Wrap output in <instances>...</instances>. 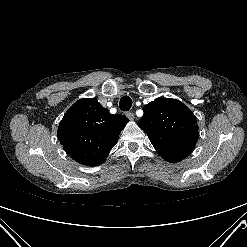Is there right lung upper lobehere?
<instances>
[{
	"mask_svg": "<svg viewBox=\"0 0 247 247\" xmlns=\"http://www.w3.org/2000/svg\"><path fill=\"white\" fill-rule=\"evenodd\" d=\"M112 115L95 98H83L65 113L57 131L65 152L82 165L98 166L115 146L128 122Z\"/></svg>",
	"mask_w": 247,
	"mask_h": 247,
	"instance_id": "1",
	"label": "right lung upper lobe"
}]
</instances>
